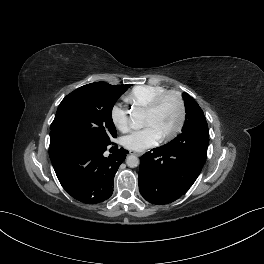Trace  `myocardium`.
I'll list each match as a JSON object with an SVG mask.
<instances>
[{
  "mask_svg": "<svg viewBox=\"0 0 264 264\" xmlns=\"http://www.w3.org/2000/svg\"><path fill=\"white\" fill-rule=\"evenodd\" d=\"M169 97H173L177 102L179 109V119L176 126L170 132L161 136L162 141H169L173 139L181 132L184 127L186 121V106L182 95L177 91L167 90L155 97L152 102L145 108L146 112L153 113Z\"/></svg>",
  "mask_w": 264,
  "mask_h": 264,
  "instance_id": "1",
  "label": "myocardium"
}]
</instances>
